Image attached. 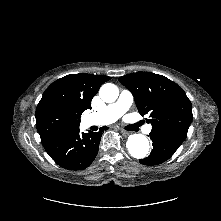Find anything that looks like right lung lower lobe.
I'll use <instances>...</instances> for the list:
<instances>
[{"label":"right lung lower lobe","instance_id":"right-lung-lower-lobe-1","mask_svg":"<svg viewBox=\"0 0 221 221\" xmlns=\"http://www.w3.org/2000/svg\"><path fill=\"white\" fill-rule=\"evenodd\" d=\"M101 131L81 133L79 129L43 144L48 155L68 170L87 168L98 153Z\"/></svg>","mask_w":221,"mask_h":221}]
</instances>
